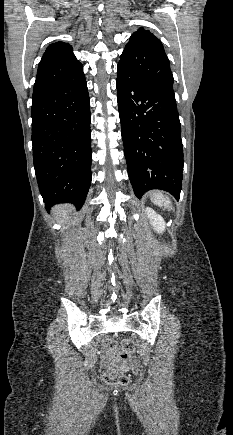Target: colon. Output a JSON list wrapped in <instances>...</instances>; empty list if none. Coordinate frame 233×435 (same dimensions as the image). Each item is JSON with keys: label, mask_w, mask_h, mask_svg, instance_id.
Returning a JSON list of instances; mask_svg holds the SVG:
<instances>
[{"label": "colon", "mask_w": 233, "mask_h": 435, "mask_svg": "<svg viewBox=\"0 0 233 435\" xmlns=\"http://www.w3.org/2000/svg\"><path fill=\"white\" fill-rule=\"evenodd\" d=\"M112 357L114 360H122L131 356L135 346L132 340L124 339L117 344L112 345ZM104 381L111 385H127L131 381V375L128 373H118L112 367H108L103 375Z\"/></svg>", "instance_id": "obj_1"}]
</instances>
